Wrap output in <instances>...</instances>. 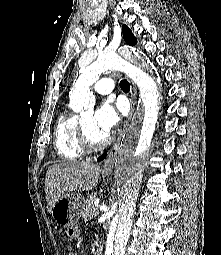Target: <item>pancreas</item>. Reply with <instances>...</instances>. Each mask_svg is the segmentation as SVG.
<instances>
[{
	"label": "pancreas",
	"instance_id": "pancreas-1",
	"mask_svg": "<svg viewBox=\"0 0 221 255\" xmlns=\"http://www.w3.org/2000/svg\"><path fill=\"white\" fill-rule=\"evenodd\" d=\"M96 200V194H90L84 201V209L82 212V219L84 222L89 221L93 216L94 202Z\"/></svg>",
	"mask_w": 221,
	"mask_h": 255
}]
</instances>
